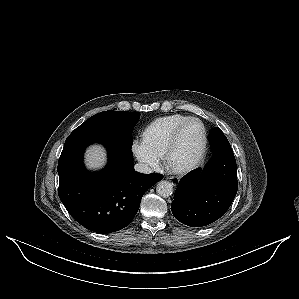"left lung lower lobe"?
Segmentation results:
<instances>
[{
	"mask_svg": "<svg viewBox=\"0 0 299 299\" xmlns=\"http://www.w3.org/2000/svg\"><path fill=\"white\" fill-rule=\"evenodd\" d=\"M211 150L213 157L203 170L197 168L180 180L171 205L175 218L191 227L206 226L218 220L237 193L232 148L211 145Z\"/></svg>",
	"mask_w": 299,
	"mask_h": 299,
	"instance_id": "obj_1",
	"label": "left lung lower lobe"
}]
</instances>
